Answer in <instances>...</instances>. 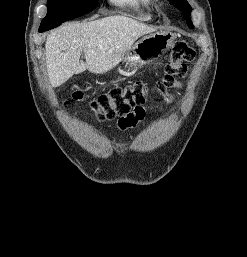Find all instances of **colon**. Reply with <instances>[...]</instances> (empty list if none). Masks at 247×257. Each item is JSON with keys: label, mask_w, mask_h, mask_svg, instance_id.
Segmentation results:
<instances>
[{"label": "colon", "mask_w": 247, "mask_h": 257, "mask_svg": "<svg viewBox=\"0 0 247 257\" xmlns=\"http://www.w3.org/2000/svg\"><path fill=\"white\" fill-rule=\"evenodd\" d=\"M196 51L186 43L176 44L165 65L164 76L153 85L137 81L125 86L116 87L108 93L93 99L90 107L100 121L118 119L123 124L134 112L143 109L149 102V93L158 92L166 95L170 90L181 87V79L187 71L186 63L194 59ZM73 99L83 97V91L72 94Z\"/></svg>", "instance_id": "colon-1"}]
</instances>
